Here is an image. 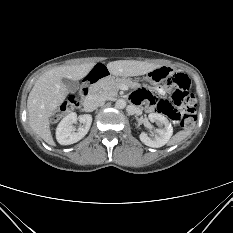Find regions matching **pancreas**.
<instances>
[{
    "instance_id": "obj_1",
    "label": "pancreas",
    "mask_w": 233,
    "mask_h": 233,
    "mask_svg": "<svg viewBox=\"0 0 233 233\" xmlns=\"http://www.w3.org/2000/svg\"><path fill=\"white\" fill-rule=\"evenodd\" d=\"M123 81L120 79L106 78L101 80L99 85V91L107 98H113L117 96L120 86Z\"/></svg>"
}]
</instances>
